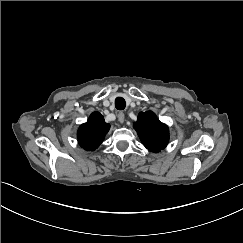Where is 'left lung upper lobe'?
<instances>
[{
  "mask_svg": "<svg viewBox=\"0 0 243 243\" xmlns=\"http://www.w3.org/2000/svg\"><path fill=\"white\" fill-rule=\"evenodd\" d=\"M134 128L144 146L152 152L164 149L169 141L168 127L152 111L139 113Z\"/></svg>",
  "mask_w": 243,
  "mask_h": 243,
  "instance_id": "5c2ea615",
  "label": "left lung upper lobe"
}]
</instances>
